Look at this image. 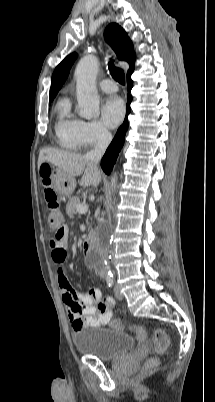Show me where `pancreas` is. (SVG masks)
Wrapping results in <instances>:
<instances>
[{"label": "pancreas", "mask_w": 215, "mask_h": 402, "mask_svg": "<svg viewBox=\"0 0 215 402\" xmlns=\"http://www.w3.org/2000/svg\"><path fill=\"white\" fill-rule=\"evenodd\" d=\"M80 204V200L76 197H72L69 199L67 205H66V213L68 216L73 217L77 210H76V206Z\"/></svg>", "instance_id": "obj_1"}]
</instances>
